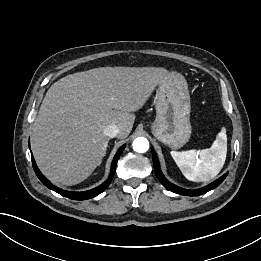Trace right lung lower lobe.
<instances>
[{"label": "right lung lower lobe", "instance_id": "98d812e1", "mask_svg": "<svg viewBox=\"0 0 261 261\" xmlns=\"http://www.w3.org/2000/svg\"><path fill=\"white\" fill-rule=\"evenodd\" d=\"M125 148V145H123L119 150L118 152L116 153L114 159H113V162H112V165H111V172H110V176L108 178L107 181H105L103 184H101L100 186L92 189V190H89V191H85V192H71V191H66V190H63V189H60L54 185H52L44 176L43 174L40 172V170L38 169L36 163H35V160H34V157L32 156V165H33V169L37 175V177L40 179V181L45 185L47 186L49 189L61 194L62 196H65V197H68L70 199H73V200H86V199H90V198H93L95 196H97L98 194H100L101 192H103L107 187L108 185L110 184L113 176H114V173H115V169H116V164H117V161L121 155V153L123 152Z\"/></svg>", "mask_w": 261, "mask_h": 261}]
</instances>
